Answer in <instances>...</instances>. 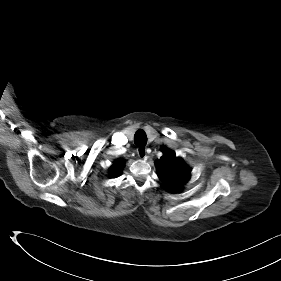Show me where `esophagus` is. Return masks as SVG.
<instances>
[{
  "mask_svg": "<svg viewBox=\"0 0 281 281\" xmlns=\"http://www.w3.org/2000/svg\"><path fill=\"white\" fill-rule=\"evenodd\" d=\"M137 154L139 158L144 159L147 155L146 147L141 146L137 149Z\"/></svg>",
  "mask_w": 281,
  "mask_h": 281,
  "instance_id": "obj_1",
  "label": "esophagus"
}]
</instances>
